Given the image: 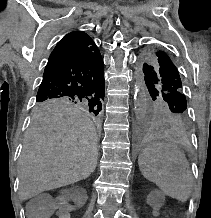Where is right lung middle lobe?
<instances>
[{
  "label": "right lung middle lobe",
  "mask_w": 211,
  "mask_h": 218,
  "mask_svg": "<svg viewBox=\"0 0 211 218\" xmlns=\"http://www.w3.org/2000/svg\"><path fill=\"white\" fill-rule=\"evenodd\" d=\"M74 104L84 106L94 115L99 114L102 105L101 101L91 98L45 97L36 99V107L38 109H48Z\"/></svg>",
  "instance_id": "obj_1"
}]
</instances>
